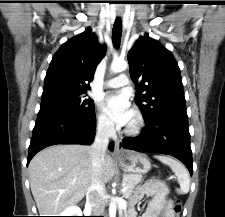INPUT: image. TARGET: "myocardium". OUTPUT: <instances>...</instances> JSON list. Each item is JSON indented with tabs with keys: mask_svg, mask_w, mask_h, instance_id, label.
I'll return each mask as SVG.
<instances>
[{
	"mask_svg": "<svg viewBox=\"0 0 225 217\" xmlns=\"http://www.w3.org/2000/svg\"><path fill=\"white\" fill-rule=\"evenodd\" d=\"M144 118L142 113L135 109L132 112V118L127 127L125 128V133L129 136H137L141 133L144 127Z\"/></svg>",
	"mask_w": 225,
	"mask_h": 217,
	"instance_id": "myocardium-1",
	"label": "myocardium"
}]
</instances>
